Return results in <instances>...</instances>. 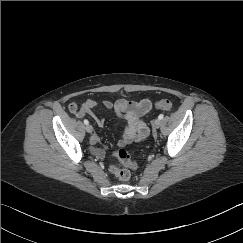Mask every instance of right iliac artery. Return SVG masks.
Here are the masks:
<instances>
[{
  "instance_id": "82829eb1",
  "label": "right iliac artery",
  "mask_w": 243,
  "mask_h": 243,
  "mask_svg": "<svg viewBox=\"0 0 243 243\" xmlns=\"http://www.w3.org/2000/svg\"><path fill=\"white\" fill-rule=\"evenodd\" d=\"M84 124H85V125H88V124H89V121L85 119V120H84Z\"/></svg>"
}]
</instances>
